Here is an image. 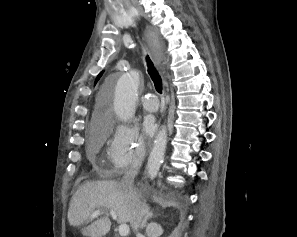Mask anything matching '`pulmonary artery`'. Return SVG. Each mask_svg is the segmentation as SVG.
Instances as JSON below:
<instances>
[{
	"instance_id": "pulmonary-artery-1",
	"label": "pulmonary artery",
	"mask_w": 297,
	"mask_h": 237,
	"mask_svg": "<svg viewBox=\"0 0 297 237\" xmlns=\"http://www.w3.org/2000/svg\"><path fill=\"white\" fill-rule=\"evenodd\" d=\"M142 105L145 110L153 112L159 107V102L152 94H146L142 100Z\"/></svg>"
}]
</instances>
